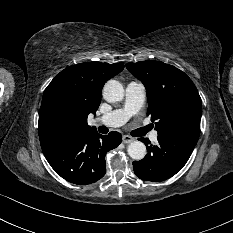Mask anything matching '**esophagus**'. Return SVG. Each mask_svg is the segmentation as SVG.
<instances>
[{
  "instance_id": "obj_1",
  "label": "esophagus",
  "mask_w": 233,
  "mask_h": 233,
  "mask_svg": "<svg viewBox=\"0 0 233 233\" xmlns=\"http://www.w3.org/2000/svg\"><path fill=\"white\" fill-rule=\"evenodd\" d=\"M122 141H123V143H125V144H129V143H131V142L134 141V138L131 137V136H129V135H123Z\"/></svg>"
}]
</instances>
